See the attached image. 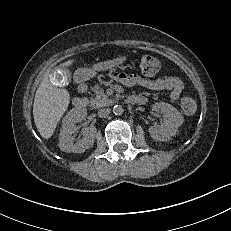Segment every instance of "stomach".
<instances>
[{
	"label": "stomach",
	"mask_w": 231,
	"mask_h": 231,
	"mask_svg": "<svg viewBox=\"0 0 231 231\" xmlns=\"http://www.w3.org/2000/svg\"><path fill=\"white\" fill-rule=\"evenodd\" d=\"M127 60V56H120L113 60L102 61L95 64L92 68H80L76 71V77L80 81H86L96 75L98 71L111 70Z\"/></svg>",
	"instance_id": "obj_1"
}]
</instances>
